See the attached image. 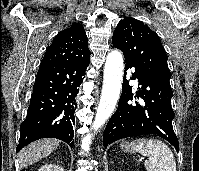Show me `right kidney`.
I'll return each mask as SVG.
<instances>
[{
    "instance_id": "ca27d5eb",
    "label": "right kidney",
    "mask_w": 199,
    "mask_h": 171,
    "mask_svg": "<svg viewBox=\"0 0 199 171\" xmlns=\"http://www.w3.org/2000/svg\"><path fill=\"white\" fill-rule=\"evenodd\" d=\"M38 171H64V169L56 164H44Z\"/></svg>"
}]
</instances>
